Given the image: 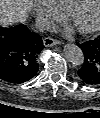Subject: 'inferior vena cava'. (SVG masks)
I'll return each instance as SVG.
<instances>
[{
    "label": "inferior vena cava",
    "instance_id": "602c4592",
    "mask_svg": "<svg viewBox=\"0 0 100 118\" xmlns=\"http://www.w3.org/2000/svg\"><path fill=\"white\" fill-rule=\"evenodd\" d=\"M35 26L40 31H49L51 29V22L44 18H36Z\"/></svg>",
    "mask_w": 100,
    "mask_h": 118
}]
</instances>
